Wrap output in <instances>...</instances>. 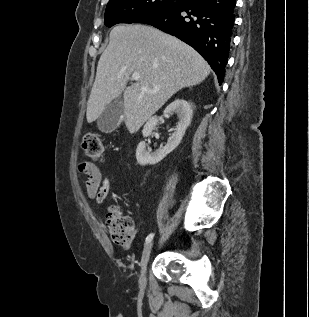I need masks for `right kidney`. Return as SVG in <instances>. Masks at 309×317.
Segmentation results:
<instances>
[{"label":"right kidney","instance_id":"1","mask_svg":"<svg viewBox=\"0 0 309 317\" xmlns=\"http://www.w3.org/2000/svg\"><path fill=\"white\" fill-rule=\"evenodd\" d=\"M173 113L178 115L179 121L177 123L175 132L169 137L166 145L163 148H160L152 153L146 149V144L144 141L138 144L136 149V159L140 165H155L159 163L180 144L186 129L191 123L193 110L190 103H188L186 100L177 99L164 110V114L171 115ZM158 122V117L150 118L142 130L143 136H150L152 130L158 125Z\"/></svg>","mask_w":309,"mask_h":317}]
</instances>
